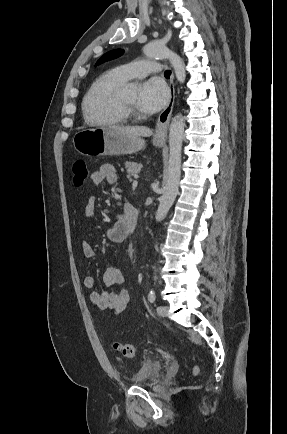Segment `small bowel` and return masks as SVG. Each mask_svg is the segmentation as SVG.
I'll list each match as a JSON object with an SVG mask.
<instances>
[{
	"label": "small bowel",
	"mask_w": 287,
	"mask_h": 434,
	"mask_svg": "<svg viewBox=\"0 0 287 434\" xmlns=\"http://www.w3.org/2000/svg\"><path fill=\"white\" fill-rule=\"evenodd\" d=\"M91 181L95 185H101L103 183L112 185L117 181L116 170L110 164H103L98 170L91 173ZM127 205L128 204H125L123 206L116 222L107 230V237L111 242H123L130 234L126 217ZM96 210L97 200L95 197H90L84 205V214L86 217L91 218L95 215ZM82 253L86 258H92L94 256V248L88 241L82 242ZM102 281L110 290L91 292V302L99 309L110 310L114 313L124 311L130 303V293L127 290H112L113 287L125 282L123 271L118 266H109L103 272ZM83 285L87 289L93 288V277L86 276L83 279Z\"/></svg>",
	"instance_id": "obj_1"
}]
</instances>
